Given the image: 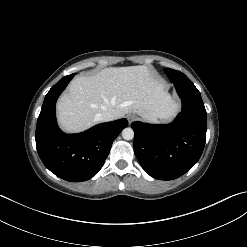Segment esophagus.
Instances as JSON below:
<instances>
[{
  "mask_svg": "<svg viewBox=\"0 0 247 247\" xmlns=\"http://www.w3.org/2000/svg\"><path fill=\"white\" fill-rule=\"evenodd\" d=\"M127 120H128V122H129V124H131L132 122H134L135 120H137V116L134 115V114H129V115L127 116Z\"/></svg>",
  "mask_w": 247,
  "mask_h": 247,
  "instance_id": "34e87169",
  "label": "esophagus"
}]
</instances>
